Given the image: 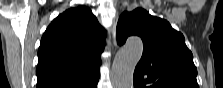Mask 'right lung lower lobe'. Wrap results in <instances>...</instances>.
Returning a JSON list of instances; mask_svg holds the SVG:
<instances>
[{
  "mask_svg": "<svg viewBox=\"0 0 223 88\" xmlns=\"http://www.w3.org/2000/svg\"><path fill=\"white\" fill-rule=\"evenodd\" d=\"M97 83H98V80L93 84V86L92 87H90V88H96L97 87Z\"/></svg>",
  "mask_w": 223,
  "mask_h": 88,
  "instance_id": "obj_1",
  "label": "right lung lower lobe"
}]
</instances>
